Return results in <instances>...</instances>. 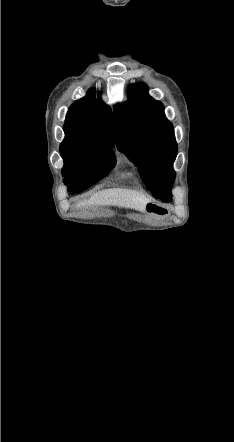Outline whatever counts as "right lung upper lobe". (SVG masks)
Wrapping results in <instances>:
<instances>
[{"label":"right lung upper lobe","instance_id":"cb5924a9","mask_svg":"<svg viewBox=\"0 0 234 442\" xmlns=\"http://www.w3.org/2000/svg\"><path fill=\"white\" fill-rule=\"evenodd\" d=\"M109 108L96 99L94 90L74 102L66 116L64 129L91 145L114 146L113 121Z\"/></svg>","mask_w":234,"mask_h":442}]
</instances>
